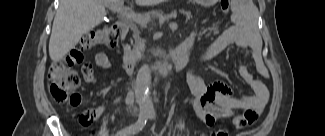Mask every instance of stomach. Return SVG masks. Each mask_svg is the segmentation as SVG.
Here are the masks:
<instances>
[{
    "label": "stomach",
    "mask_w": 325,
    "mask_h": 136,
    "mask_svg": "<svg viewBox=\"0 0 325 136\" xmlns=\"http://www.w3.org/2000/svg\"><path fill=\"white\" fill-rule=\"evenodd\" d=\"M213 2H215V1L214 0L201 1V3H204V4H210Z\"/></svg>",
    "instance_id": "0dacf381"
}]
</instances>
